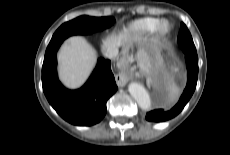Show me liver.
Segmentation results:
<instances>
[{"instance_id": "1", "label": "liver", "mask_w": 230, "mask_h": 155, "mask_svg": "<svg viewBox=\"0 0 230 155\" xmlns=\"http://www.w3.org/2000/svg\"><path fill=\"white\" fill-rule=\"evenodd\" d=\"M131 40L128 32L112 34L103 41L102 50L118 48ZM59 78L68 88L84 84L96 65V52L81 36H73L61 46L58 55Z\"/></svg>"}]
</instances>
